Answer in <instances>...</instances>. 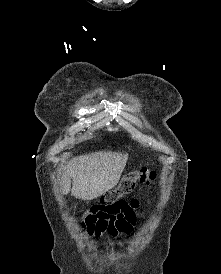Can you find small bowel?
I'll use <instances>...</instances> for the list:
<instances>
[{
  "mask_svg": "<svg viewBox=\"0 0 221 274\" xmlns=\"http://www.w3.org/2000/svg\"><path fill=\"white\" fill-rule=\"evenodd\" d=\"M136 199L119 200L111 205H93L83 216L81 227L96 239L121 240L130 237L136 227Z\"/></svg>",
  "mask_w": 221,
  "mask_h": 274,
  "instance_id": "obj_1",
  "label": "small bowel"
}]
</instances>
